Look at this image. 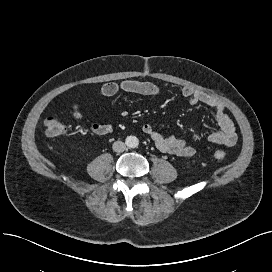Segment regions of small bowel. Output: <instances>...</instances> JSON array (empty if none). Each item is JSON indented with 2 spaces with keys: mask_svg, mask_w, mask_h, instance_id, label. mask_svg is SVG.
Here are the masks:
<instances>
[{
  "mask_svg": "<svg viewBox=\"0 0 272 272\" xmlns=\"http://www.w3.org/2000/svg\"><path fill=\"white\" fill-rule=\"evenodd\" d=\"M120 92L154 97L159 93V87L152 82L124 80L118 83H106L99 89V95L103 97H110ZM181 94L192 105L204 104L214 109L215 118L220 129L211 132L207 136L206 140L209 143L230 147L237 142L238 133L236 127L226 113L225 104L220 99L189 86L182 87ZM73 116L77 120L82 117L78 104H75L73 107ZM90 129L94 134L100 136H106L113 132V127L110 124L93 123ZM142 131L151 138L161 152L179 157H191L195 153V148L192 144L174 135H166L155 129L151 124H143Z\"/></svg>",
  "mask_w": 272,
  "mask_h": 272,
  "instance_id": "obj_1",
  "label": "small bowel"
}]
</instances>
